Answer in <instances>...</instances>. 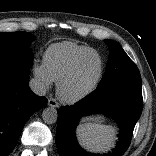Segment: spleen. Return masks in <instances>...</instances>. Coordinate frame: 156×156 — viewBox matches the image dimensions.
I'll return each instance as SVG.
<instances>
[{
	"instance_id": "obj_1",
	"label": "spleen",
	"mask_w": 156,
	"mask_h": 156,
	"mask_svg": "<svg viewBox=\"0 0 156 156\" xmlns=\"http://www.w3.org/2000/svg\"><path fill=\"white\" fill-rule=\"evenodd\" d=\"M80 144L92 152H107L115 146L116 129L109 125L83 123L77 128Z\"/></svg>"
}]
</instances>
